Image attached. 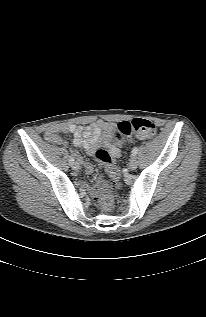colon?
I'll return each mask as SVG.
<instances>
[{"label":"colon","mask_w":206,"mask_h":317,"mask_svg":"<svg viewBox=\"0 0 206 317\" xmlns=\"http://www.w3.org/2000/svg\"><path fill=\"white\" fill-rule=\"evenodd\" d=\"M112 133L117 137L128 136L132 133L142 139L153 138L156 133L155 124L147 119L134 118L129 121H122L112 130ZM95 158L106 168L108 174L117 182L120 177V170L114 164L111 154L102 148L95 151ZM96 187L99 191V203L105 210H109L113 203V197L111 193L112 184L103 178L97 181Z\"/></svg>","instance_id":"obj_1"}]
</instances>
